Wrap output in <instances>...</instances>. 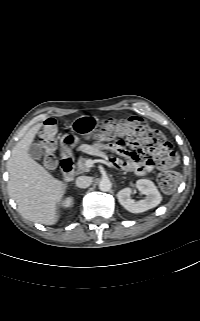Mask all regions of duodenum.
I'll list each match as a JSON object with an SVG mask.
<instances>
[{
	"label": "duodenum",
	"instance_id": "obj_1",
	"mask_svg": "<svg viewBox=\"0 0 200 321\" xmlns=\"http://www.w3.org/2000/svg\"><path fill=\"white\" fill-rule=\"evenodd\" d=\"M61 170L65 180H71L74 175V160L71 156L65 155L61 160Z\"/></svg>",
	"mask_w": 200,
	"mask_h": 321
}]
</instances>
